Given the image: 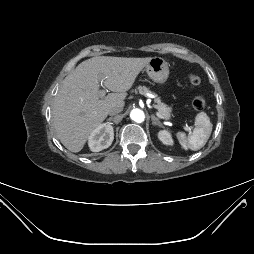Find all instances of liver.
Segmentation results:
<instances>
[{
	"label": "liver",
	"mask_w": 254,
	"mask_h": 254,
	"mask_svg": "<svg viewBox=\"0 0 254 254\" xmlns=\"http://www.w3.org/2000/svg\"><path fill=\"white\" fill-rule=\"evenodd\" d=\"M151 60L97 56L81 62L62 82L53 104V126L60 142L79 152L92 131L107 117L112 106H124L127 91ZM114 93L99 97V77Z\"/></svg>",
	"instance_id": "liver-1"
}]
</instances>
